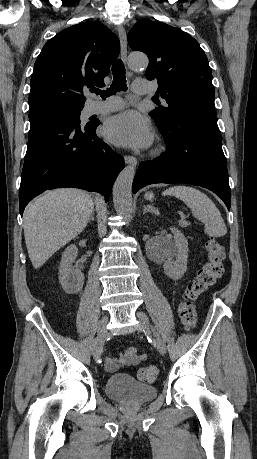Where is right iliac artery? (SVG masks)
<instances>
[{
  "label": "right iliac artery",
  "mask_w": 257,
  "mask_h": 459,
  "mask_svg": "<svg viewBox=\"0 0 257 459\" xmlns=\"http://www.w3.org/2000/svg\"><path fill=\"white\" fill-rule=\"evenodd\" d=\"M97 343H98V337L94 338L93 341H92V351L95 348V346L97 345Z\"/></svg>",
  "instance_id": "right-iliac-artery-1"
}]
</instances>
